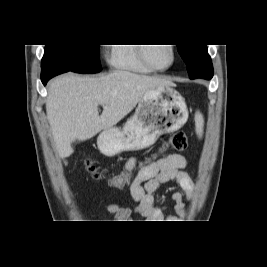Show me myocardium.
<instances>
[{
	"mask_svg": "<svg viewBox=\"0 0 267 267\" xmlns=\"http://www.w3.org/2000/svg\"><path fill=\"white\" fill-rule=\"evenodd\" d=\"M149 45L150 44H143V46H140L141 59L148 67H150L153 71L163 72V71L170 69L174 65V63L176 61V49H175V46L173 44H167L171 50L172 58H171L170 64L167 65L166 67H158L152 63V61L149 58V54H148V51L150 48Z\"/></svg>",
	"mask_w": 267,
	"mask_h": 267,
	"instance_id": "myocardium-1",
	"label": "myocardium"
}]
</instances>
